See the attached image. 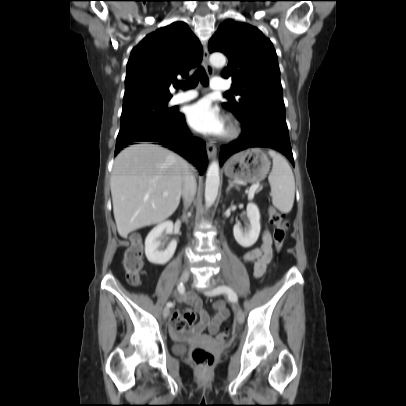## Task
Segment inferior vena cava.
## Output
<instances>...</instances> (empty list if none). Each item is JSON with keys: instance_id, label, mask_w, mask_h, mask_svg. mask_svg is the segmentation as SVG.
<instances>
[{"instance_id": "1", "label": "inferior vena cava", "mask_w": 406, "mask_h": 406, "mask_svg": "<svg viewBox=\"0 0 406 406\" xmlns=\"http://www.w3.org/2000/svg\"><path fill=\"white\" fill-rule=\"evenodd\" d=\"M196 193V180L189 167H185L182 175V197L185 208H188Z\"/></svg>"}]
</instances>
